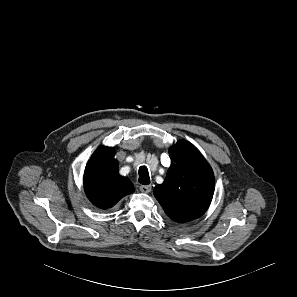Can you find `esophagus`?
<instances>
[{"label":"esophagus","instance_id":"34e87169","mask_svg":"<svg viewBox=\"0 0 297 297\" xmlns=\"http://www.w3.org/2000/svg\"><path fill=\"white\" fill-rule=\"evenodd\" d=\"M151 185H141L139 187L140 191L143 193H149L151 191Z\"/></svg>","mask_w":297,"mask_h":297}]
</instances>
